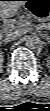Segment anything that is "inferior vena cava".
Wrapping results in <instances>:
<instances>
[{
  "mask_svg": "<svg viewBox=\"0 0 50 111\" xmlns=\"http://www.w3.org/2000/svg\"><path fill=\"white\" fill-rule=\"evenodd\" d=\"M20 37H21V33L19 30H11L4 34L3 40L4 42H12L19 39Z\"/></svg>",
  "mask_w": 50,
  "mask_h": 111,
  "instance_id": "602c4592",
  "label": "inferior vena cava"
}]
</instances>
